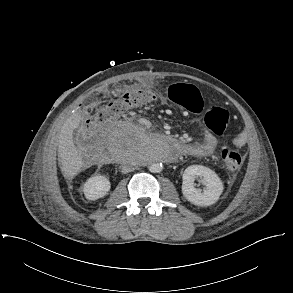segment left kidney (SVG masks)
I'll return each instance as SVG.
<instances>
[{
    "instance_id": "5707ae66",
    "label": "left kidney",
    "mask_w": 293,
    "mask_h": 293,
    "mask_svg": "<svg viewBox=\"0 0 293 293\" xmlns=\"http://www.w3.org/2000/svg\"><path fill=\"white\" fill-rule=\"evenodd\" d=\"M201 177L204 190L195 188L194 181ZM182 193L194 205L209 206L216 203L223 192V183L218 175L208 167L191 165L183 174Z\"/></svg>"
}]
</instances>
